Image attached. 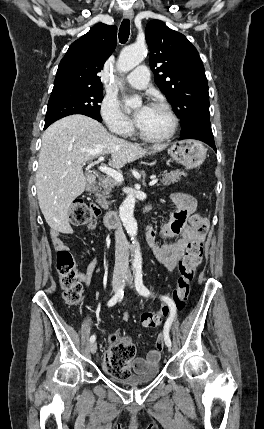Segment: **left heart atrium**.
Returning a JSON list of instances; mask_svg holds the SVG:
<instances>
[{"mask_svg":"<svg viewBox=\"0 0 264 429\" xmlns=\"http://www.w3.org/2000/svg\"><path fill=\"white\" fill-rule=\"evenodd\" d=\"M147 106H143L135 115V120L138 123L140 121V119L142 118L143 114L146 112L147 110Z\"/></svg>","mask_w":264,"mask_h":429,"instance_id":"obj_1","label":"left heart atrium"}]
</instances>
